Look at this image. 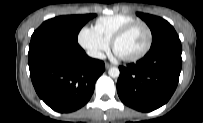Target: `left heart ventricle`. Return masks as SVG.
<instances>
[{"mask_svg": "<svg viewBox=\"0 0 203 123\" xmlns=\"http://www.w3.org/2000/svg\"><path fill=\"white\" fill-rule=\"evenodd\" d=\"M148 35L143 26L133 28L116 44V53L122 57L133 56L141 52L147 44Z\"/></svg>", "mask_w": 203, "mask_h": 123, "instance_id": "b2bd125f", "label": "left heart ventricle"}]
</instances>
